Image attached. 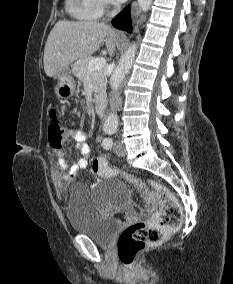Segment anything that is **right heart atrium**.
<instances>
[{"mask_svg":"<svg viewBox=\"0 0 233 284\" xmlns=\"http://www.w3.org/2000/svg\"><path fill=\"white\" fill-rule=\"evenodd\" d=\"M103 6H110L112 4V0H101Z\"/></svg>","mask_w":233,"mask_h":284,"instance_id":"right-heart-atrium-1","label":"right heart atrium"}]
</instances>
